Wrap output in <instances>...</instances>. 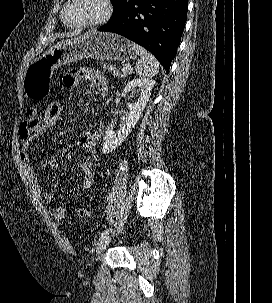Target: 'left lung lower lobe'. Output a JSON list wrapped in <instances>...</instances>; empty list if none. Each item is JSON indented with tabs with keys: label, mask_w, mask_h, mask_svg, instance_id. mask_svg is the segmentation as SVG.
I'll list each match as a JSON object with an SVG mask.
<instances>
[{
	"label": "left lung lower lobe",
	"mask_w": 272,
	"mask_h": 303,
	"mask_svg": "<svg viewBox=\"0 0 272 303\" xmlns=\"http://www.w3.org/2000/svg\"><path fill=\"white\" fill-rule=\"evenodd\" d=\"M187 0H138L98 31L120 34L149 50L168 72L187 19Z\"/></svg>",
	"instance_id": "0a47b994"
}]
</instances>
